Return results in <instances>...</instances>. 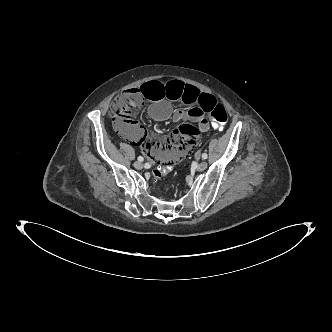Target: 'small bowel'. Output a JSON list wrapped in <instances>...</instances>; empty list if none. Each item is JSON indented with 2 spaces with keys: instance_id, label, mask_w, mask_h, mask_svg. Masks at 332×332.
I'll list each match as a JSON object with an SVG mask.
<instances>
[{
  "instance_id": "1",
  "label": "small bowel",
  "mask_w": 332,
  "mask_h": 332,
  "mask_svg": "<svg viewBox=\"0 0 332 332\" xmlns=\"http://www.w3.org/2000/svg\"><path fill=\"white\" fill-rule=\"evenodd\" d=\"M139 92L142 99L150 104L148 113L154 120H188L196 126L190 123L182 124L174 130L173 136L161 140L148 135L138 124H135L131 131L119 130L120 133L140 147L152 163L172 164L187 157L190 149L199 144L200 132L205 133L210 128L205 113L216 103L215 97L180 80L161 83L153 78L143 81ZM172 101L183 102L189 107L173 111Z\"/></svg>"
}]
</instances>
